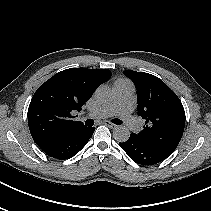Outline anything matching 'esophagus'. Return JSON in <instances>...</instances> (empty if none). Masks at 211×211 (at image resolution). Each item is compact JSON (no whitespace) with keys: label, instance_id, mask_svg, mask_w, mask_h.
Returning a JSON list of instances; mask_svg holds the SVG:
<instances>
[{"label":"esophagus","instance_id":"obj_1","mask_svg":"<svg viewBox=\"0 0 211 211\" xmlns=\"http://www.w3.org/2000/svg\"><path fill=\"white\" fill-rule=\"evenodd\" d=\"M104 124L112 129L117 127L115 124L111 123L110 121H104Z\"/></svg>","mask_w":211,"mask_h":211}]
</instances>
